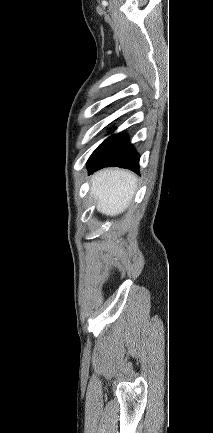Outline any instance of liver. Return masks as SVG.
<instances>
[{
    "instance_id": "liver-1",
    "label": "liver",
    "mask_w": 213,
    "mask_h": 433,
    "mask_svg": "<svg viewBox=\"0 0 213 433\" xmlns=\"http://www.w3.org/2000/svg\"><path fill=\"white\" fill-rule=\"evenodd\" d=\"M137 189V176L127 170L107 168L91 178V195L97 210L107 216H116L130 204Z\"/></svg>"
}]
</instances>
